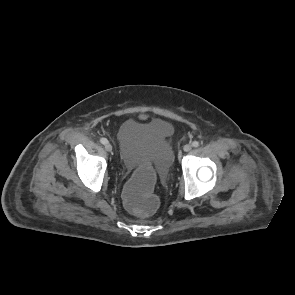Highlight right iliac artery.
<instances>
[{
	"mask_svg": "<svg viewBox=\"0 0 295 295\" xmlns=\"http://www.w3.org/2000/svg\"><path fill=\"white\" fill-rule=\"evenodd\" d=\"M100 142H101L102 144H106V143L108 142V140H107L106 138H101V139H100Z\"/></svg>",
	"mask_w": 295,
	"mask_h": 295,
	"instance_id": "obj_1",
	"label": "right iliac artery"
}]
</instances>
